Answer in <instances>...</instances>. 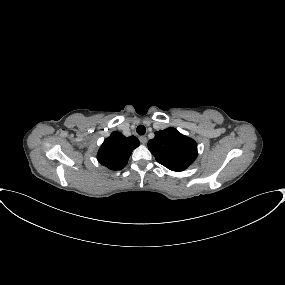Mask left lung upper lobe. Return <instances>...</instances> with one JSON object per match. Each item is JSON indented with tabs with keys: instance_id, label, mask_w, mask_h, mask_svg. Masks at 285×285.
<instances>
[{
	"instance_id": "left-lung-upper-lobe-1",
	"label": "left lung upper lobe",
	"mask_w": 285,
	"mask_h": 285,
	"mask_svg": "<svg viewBox=\"0 0 285 285\" xmlns=\"http://www.w3.org/2000/svg\"><path fill=\"white\" fill-rule=\"evenodd\" d=\"M148 149L158 163L172 171L185 170L197 157L196 142L172 127L155 132Z\"/></svg>"
}]
</instances>
